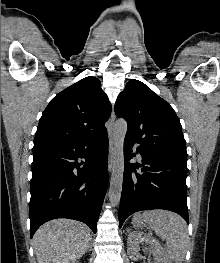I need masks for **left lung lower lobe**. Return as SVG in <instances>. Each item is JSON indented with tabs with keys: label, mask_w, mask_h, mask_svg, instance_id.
Segmentation results:
<instances>
[{
	"label": "left lung lower lobe",
	"mask_w": 220,
	"mask_h": 263,
	"mask_svg": "<svg viewBox=\"0 0 220 263\" xmlns=\"http://www.w3.org/2000/svg\"><path fill=\"white\" fill-rule=\"evenodd\" d=\"M136 142L125 137L123 187L119 208V226L131 214L141 210L165 209L181 215L189 224L187 208V168L139 146L142 165L129 163L135 156ZM142 167V173L136 169Z\"/></svg>",
	"instance_id": "obj_1"
}]
</instances>
